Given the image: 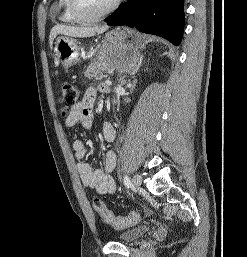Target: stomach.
<instances>
[{"label": "stomach", "instance_id": "obj_1", "mask_svg": "<svg viewBox=\"0 0 247 257\" xmlns=\"http://www.w3.org/2000/svg\"><path fill=\"white\" fill-rule=\"evenodd\" d=\"M126 31L119 28L107 32L100 49L99 59L123 71H132L138 65V48L128 40ZM80 43L73 38L58 37L55 41V53L65 67L80 61Z\"/></svg>", "mask_w": 247, "mask_h": 257}]
</instances>
